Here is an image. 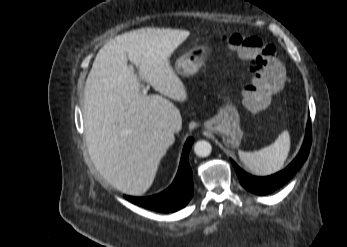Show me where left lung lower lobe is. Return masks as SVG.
<instances>
[{
	"label": "left lung lower lobe",
	"instance_id": "0a47b994",
	"mask_svg": "<svg viewBox=\"0 0 347 247\" xmlns=\"http://www.w3.org/2000/svg\"><path fill=\"white\" fill-rule=\"evenodd\" d=\"M311 140V122L308 119L305 139L299 154L286 169L268 177H254L249 175L240 169L233 160L231 162L243 187L252 193L266 195L283 186L296 174L308 157Z\"/></svg>",
	"mask_w": 347,
	"mask_h": 247
}]
</instances>
